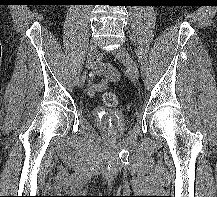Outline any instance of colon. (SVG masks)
<instances>
[{"instance_id":"1","label":"colon","mask_w":217,"mask_h":197,"mask_svg":"<svg viewBox=\"0 0 217 197\" xmlns=\"http://www.w3.org/2000/svg\"><path fill=\"white\" fill-rule=\"evenodd\" d=\"M104 103L108 107H115L119 104L118 97L112 92H105L102 96Z\"/></svg>"}]
</instances>
